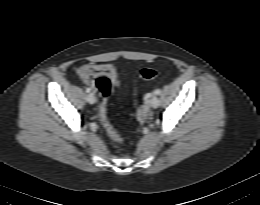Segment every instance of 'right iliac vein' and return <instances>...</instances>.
<instances>
[{"label":"right iliac vein","mask_w":260,"mask_h":205,"mask_svg":"<svg viewBox=\"0 0 260 205\" xmlns=\"http://www.w3.org/2000/svg\"><path fill=\"white\" fill-rule=\"evenodd\" d=\"M86 101L89 103V104H94L96 102V98L95 96L90 93L86 96Z\"/></svg>","instance_id":"1"}]
</instances>
